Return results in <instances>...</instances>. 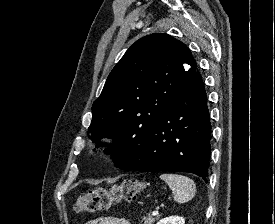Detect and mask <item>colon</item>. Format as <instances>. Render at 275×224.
I'll return each instance as SVG.
<instances>
[{"mask_svg": "<svg viewBox=\"0 0 275 224\" xmlns=\"http://www.w3.org/2000/svg\"><path fill=\"white\" fill-rule=\"evenodd\" d=\"M144 186L143 180L126 179L108 188H96L79 196L75 203V211L94 213L109 210L116 203L134 200Z\"/></svg>", "mask_w": 275, "mask_h": 224, "instance_id": "colon-1", "label": "colon"}]
</instances>
